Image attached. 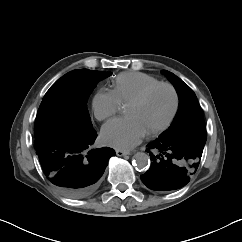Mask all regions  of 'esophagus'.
<instances>
[{
  "instance_id": "1",
  "label": "esophagus",
  "mask_w": 242,
  "mask_h": 242,
  "mask_svg": "<svg viewBox=\"0 0 242 242\" xmlns=\"http://www.w3.org/2000/svg\"><path fill=\"white\" fill-rule=\"evenodd\" d=\"M116 155L117 156H126V155H130V152L123 151V150H116Z\"/></svg>"
}]
</instances>
